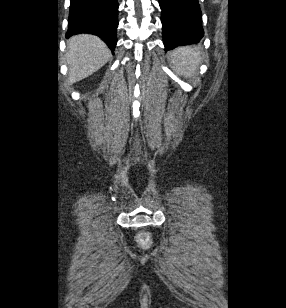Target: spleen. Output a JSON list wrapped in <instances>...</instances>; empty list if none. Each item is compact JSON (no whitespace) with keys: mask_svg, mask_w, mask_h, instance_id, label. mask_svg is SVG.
<instances>
[{"mask_svg":"<svg viewBox=\"0 0 286 308\" xmlns=\"http://www.w3.org/2000/svg\"><path fill=\"white\" fill-rule=\"evenodd\" d=\"M200 63V53L190 47H180L171 53V65L178 75L191 77Z\"/></svg>","mask_w":286,"mask_h":308,"instance_id":"obj_1","label":"spleen"}]
</instances>
